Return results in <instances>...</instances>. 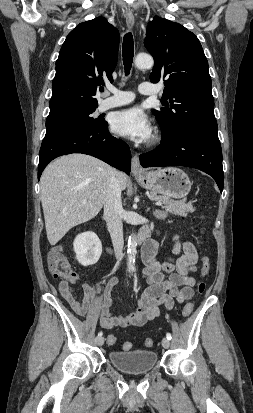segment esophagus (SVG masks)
Wrapping results in <instances>:
<instances>
[{"label": "esophagus", "instance_id": "1", "mask_svg": "<svg viewBox=\"0 0 253 413\" xmlns=\"http://www.w3.org/2000/svg\"><path fill=\"white\" fill-rule=\"evenodd\" d=\"M126 24L128 26V28H133L134 24H135V18H134V14L132 13V11H128L126 13ZM131 171L133 174H141L144 172L141 164H140V160H139V156L137 154H135L132 157V161H131Z\"/></svg>", "mask_w": 253, "mask_h": 413}]
</instances>
